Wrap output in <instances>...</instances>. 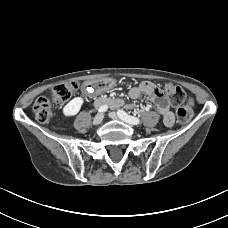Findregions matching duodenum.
<instances>
[{
  "label": "duodenum",
  "mask_w": 228,
  "mask_h": 228,
  "mask_svg": "<svg viewBox=\"0 0 228 228\" xmlns=\"http://www.w3.org/2000/svg\"><path fill=\"white\" fill-rule=\"evenodd\" d=\"M97 104L107 103L113 108H118L123 106V101L121 99H110V98H99L96 101Z\"/></svg>",
  "instance_id": "duodenum-1"
}]
</instances>
